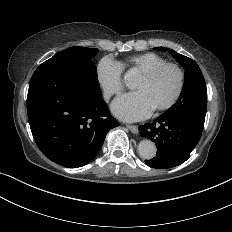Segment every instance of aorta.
Returning a JSON list of instances; mask_svg holds the SVG:
<instances>
[{
    "mask_svg": "<svg viewBox=\"0 0 232 232\" xmlns=\"http://www.w3.org/2000/svg\"><path fill=\"white\" fill-rule=\"evenodd\" d=\"M157 148L151 140L145 139L138 144V152L140 157L144 159H152L156 155Z\"/></svg>",
    "mask_w": 232,
    "mask_h": 232,
    "instance_id": "obj_1",
    "label": "aorta"
}]
</instances>
